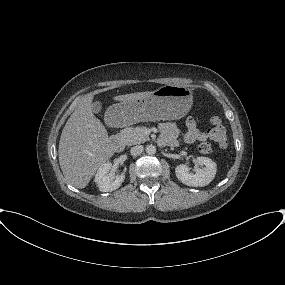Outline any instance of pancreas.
<instances>
[{"mask_svg": "<svg viewBox=\"0 0 285 285\" xmlns=\"http://www.w3.org/2000/svg\"><path fill=\"white\" fill-rule=\"evenodd\" d=\"M144 130V126L127 127L120 132V136L125 145L131 146L149 140V137L144 134Z\"/></svg>", "mask_w": 285, "mask_h": 285, "instance_id": "cf45deb5", "label": "pancreas"}]
</instances>
